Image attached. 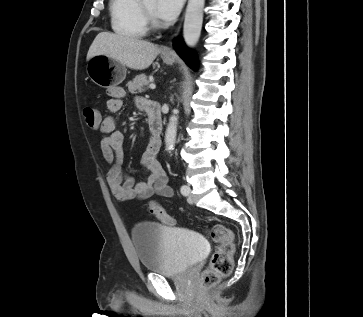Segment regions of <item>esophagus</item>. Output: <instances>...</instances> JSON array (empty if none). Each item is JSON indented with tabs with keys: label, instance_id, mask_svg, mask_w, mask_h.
Listing matches in <instances>:
<instances>
[{
	"label": "esophagus",
	"instance_id": "1",
	"mask_svg": "<svg viewBox=\"0 0 363 317\" xmlns=\"http://www.w3.org/2000/svg\"><path fill=\"white\" fill-rule=\"evenodd\" d=\"M180 30V26L178 27L176 33L174 34L173 38L176 37L178 35V32ZM163 54L166 55V56H174V51L171 49V47H167L163 50Z\"/></svg>",
	"mask_w": 363,
	"mask_h": 317
}]
</instances>
